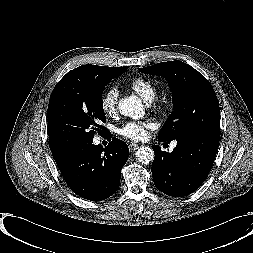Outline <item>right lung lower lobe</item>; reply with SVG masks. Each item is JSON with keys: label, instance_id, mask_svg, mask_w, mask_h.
Wrapping results in <instances>:
<instances>
[{"label": "right lung lower lobe", "instance_id": "98d812e1", "mask_svg": "<svg viewBox=\"0 0 253 253\" xmlns=\"http://www.w3.org/2000/svg\"><path fill=\"white\" fill-rule=\"evenodd\" d=\"M128 156L127 144L118 138H112L105 148L91 141L79 145L58 168L74 193L87 200L102 201L118 190L121 168Z\"/></svg>", "mask_w": 253, "mask_h": 253}]
</instances>
